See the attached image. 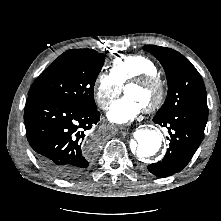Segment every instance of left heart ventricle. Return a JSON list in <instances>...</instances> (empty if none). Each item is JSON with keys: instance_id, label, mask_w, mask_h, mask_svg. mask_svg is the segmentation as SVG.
I'll return each instance as SVG.
<instances>
[{"instance_id": "left-heart-ventricle-1", "label": "left heart ventricle", "mask_w": 221, "mask_h": 221, "mask_svg": "<svg viewBox=\"0 0 221 221\" xmlns=\"http://www.w3.org/2000/svg\"><path fill=\"white\" fill-rule=\"evenodd\" d=\"M125 95L136 99L144 107L155 98L156 92L147 86H129L125 89Z\"/></svg>"}]
</instances>
